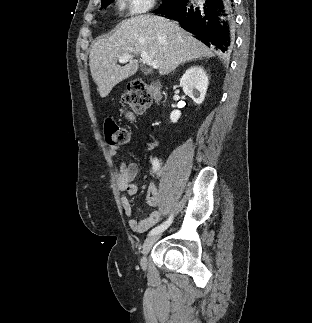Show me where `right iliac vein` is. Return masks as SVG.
I'll return each mask as SVG.
<instances>
[{"instance_id": "right-iliac-vein-1", "label": "right iliac vein", "mask_w": 312, "mask_h": 323, "mask_svg": "<svg viewBox=\"0 0 312 323\" xmlns=\"http://www.w3.org/2000/svg\"><path fill=\"white\" fill-rule=\"evenodd\" d=\"M157 239H158L157 235H151L148 238H146V240L144 241V244L142 247V258H141L142 268H145L147 266V263H146L147 254Z\"/></svg>"}]
</instances>
